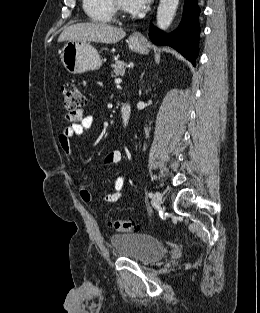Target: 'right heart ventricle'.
Returning <instances> with one entry per match:
<instances>
[{
	"label": "right heart ventricle",
	"mask_w": 260,
	"mask_h": 313,
	"mask_svg": "<svg viewBox=\"0 0 260 313\" xmlns=\"http://www.w3.org/2000/svg\"><path fill=\"white\" fill-rule=\"evenodd\" d=\"M83 8L94 22L109 23L114 16L110 0H83Z\"/></svg>",
	"instance_id": "obj_1"
}]
</instances>
